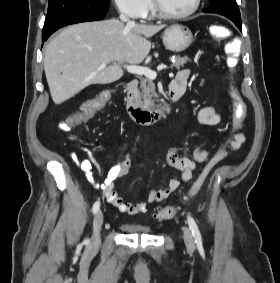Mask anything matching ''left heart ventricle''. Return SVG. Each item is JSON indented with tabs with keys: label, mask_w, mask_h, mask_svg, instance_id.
Listing matches in <instances>:
<instances>
[{
	"label": "left heart ventricle",
	"mask_w": 280,
	"mask_h": 283,
	"mask_svg": "<svg viewBox=\"0 0 280 283\" xmlns=\"http://www.w3.org/2000/svg\"><path fill=\"white\" fill-rule=\"evenodd\" d=\"M158 5L167 13L180 14L188 11L194 0H156Z\"/></svg>",
	"instance_id": "1"
}]
</instances>
